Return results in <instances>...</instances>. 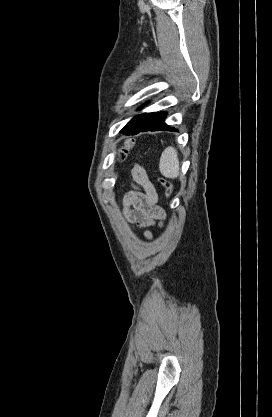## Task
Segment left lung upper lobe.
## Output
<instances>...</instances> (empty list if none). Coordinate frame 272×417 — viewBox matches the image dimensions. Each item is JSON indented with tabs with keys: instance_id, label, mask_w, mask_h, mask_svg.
Returning a JSON list of instances; mask_svg holds the SVG:
<instances>
[{
	"instance_id": "left-lung-upper-lobe-1",
	"label": "left lung upper lobe",
	"mask_w": 272,
	"mask_h": 417,
	"mask_svg": "<svg viewBox=\"0 0 272 417\" xmlns=\"http://www.w3.org/2000/svg\"><path fill=\"white\" fill-rule=\"evenodd\" d=\"M154 113L150 114H141L134 117L122 130L121 132L125 135L130 134L132 131L142 127L145 122L151 117Z\"/></svg>"
}]
</instances>
